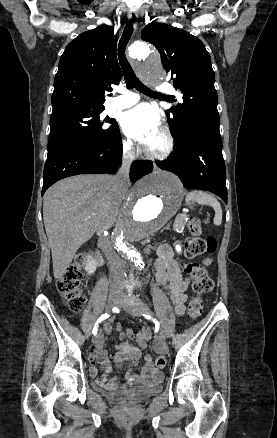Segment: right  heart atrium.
Instances as JSON below:
<instances>
[{
    "instance_id": "right-heart-atrium-1",
    "label": "right heart atrium",
    "mask_w": 277,
    "mask_h": 438,
    "mask_svg": "<svg viewBox=\"0 0 277 438\" xmlns=\"http://www.w3.org/2000/svg\"><path fill=\"white\" fill-rule=\"evenodd\" d=\"M125 79H126V77H125ZM122 146H123V149L126 153H130L133 149V143L127 138L122 139Z\"/></svg>"
}]
</instances>
